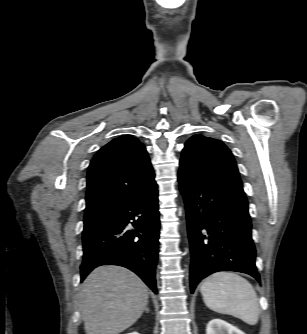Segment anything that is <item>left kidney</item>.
I'll return each mask as SVG.
<instances>
[{
  "label": "left kidney",
  "instance_id": "left-kidney-1",
  "mask_svg": "<svg viewBox=\"0 0 307 334\" xmlns=\"http://www.w3.org/2000/svg\"><path fill=\"white\" fill-rule=\"evenodd\" d=\"M206 334H245V333L221 319H212L207 324Z\"/></svg>",
  "mask_w": 307,
  "mask_h": 334
}]
</instances>
